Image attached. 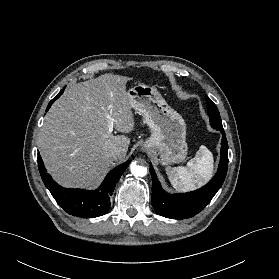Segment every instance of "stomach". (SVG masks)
Listing matches in <instances>:
<instances>
[{"label": "stomach", "mask_w": 279, "mask_h": 279, "mask_svg": "<svg viewBox=\"0 0 279 279\" xmlns=\"http://www.w3.org/2000/svg\"><path fill=\"white\" fill-rule=\"evenodd\" d=\"M127 94L132 108L142 115L151 130L143 150L158 152L163 165L182 162L188 149L186 124L182 116L152 86L137 84Z\"/></svg>", "instance_id": "stomach-1"}]
</instances>
